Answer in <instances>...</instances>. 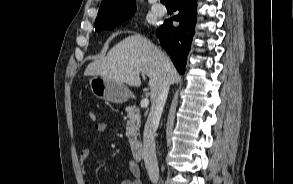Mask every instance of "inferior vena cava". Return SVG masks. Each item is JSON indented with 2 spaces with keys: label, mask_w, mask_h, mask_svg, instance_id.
Returning a JSON list of instances; mask_svg holds the SVG:
<instances>
[{
  "label": "inferior vena cava",
  "mask_w": 293,
  "mask_h": 184,
  "mask_svg": "<svg viewBox=\"0 0 293 184\" xmlns=\"http://www.w3.org/2000/svg\"><path fill=\"white\" fill-rule=\"evenodd\" d=\"M169 91V81L164 79L155 93L151 95V109L143 133L145 167L153 184H158L159 168L155 151V132L159 126L162 111Z\"/></svg>",
  "instance_id": "obj_1"
}]
</instances>
